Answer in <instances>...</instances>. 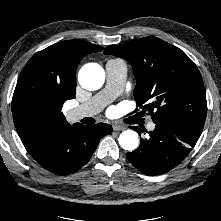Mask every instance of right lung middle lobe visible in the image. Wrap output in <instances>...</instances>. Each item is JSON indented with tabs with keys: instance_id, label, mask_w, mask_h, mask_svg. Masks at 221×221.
<instances>
[{
	"instance_id": "obj_1",
	"label": "right lung middle lobe",
	"mask_w": 221,
	"mask_h": 221,
	"mask_svg": "<svg viewBox=\"0 0 221 221\" xmlns=\"http://www.w3.org/2000/svg\"><path fill=\"white\" fill-rule=\"evenodd\" d=\"M18 99L22 108L29 113H46L62 109L66 101L63 95L53 92L44 85L28 80L18 88Z\"/></svg>"
}]
</instances>
